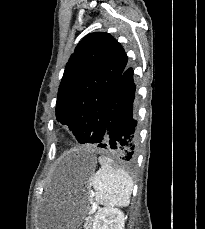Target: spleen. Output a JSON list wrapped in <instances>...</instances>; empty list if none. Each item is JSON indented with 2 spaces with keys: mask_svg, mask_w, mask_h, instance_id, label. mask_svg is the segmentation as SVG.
I'll return each mask as SVG.
<instances>
[{
  "mask_svg": "<svg viewBox=\"0 0 205 229\" xmlns=\"http://www.w3.org/2000/svg\"><path fill=\"white\" fill-rule=\"evenodd\" d=\"M101 168L92 176L91 186L95 190V200L105 206L126 207L129 205L133 181L122 169H114L105 156L99 157Z\"/></svg>",
  "mask_w": 205,
  "mask_h": 229,
  "instance_id": "obj_1",
  "label": "spleen"
}]
</instances>
